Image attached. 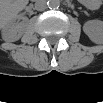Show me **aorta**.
<instances>
[{
    "label": "aorta",
    "mask_w": 103,
    "mask_h": 103,
    "mask_svg": "<svg viewBox=\"0 0 103 103\" xmlns=\"http://www.w3.org/2000/svg\"><path fill=\"white\" fill-rule=\"evenodd\" d=\"M47 5L51 9H56L60 6V1L59 0H49L47 2Z\"/></svg>",
    "instance_id": "obj_1"
}]
</instances>
